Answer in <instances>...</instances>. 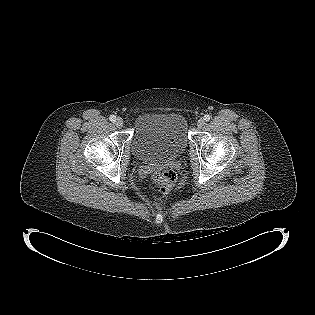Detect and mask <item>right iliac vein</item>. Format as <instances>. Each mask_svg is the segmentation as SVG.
<instances>
[{"label": "right iliac vein", "mask_w": 315, "mask_h": 315, "mask_svg": "<svg viewBox=\"0 0 315 315\" xmlns=\"http://www.w3.org/2000/svg\"><path fill=\"white\" fill-rule=\"evenodd\" d=\"M123 124H124L123 119L120 118V117H118V118L116 119V121H115V126H116L117 128H121V127H123Z\"/></svg>", "instance_id": "63e3f726"}]
</instances>
